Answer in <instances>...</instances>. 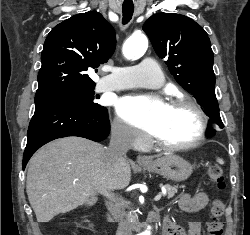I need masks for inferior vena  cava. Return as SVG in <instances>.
<instances>
[{
  "label": "inferior vena cava",
  "mask_w": 250,
  "mask_h": 235,
  "mask_svg": "<svg viewBox=\"0 0 250 235\" xmlns=\"http://www.w3.org/2000/svg\"><path fill=\"white\" fill-rule=\"evenodd\" d=\"M131 131L122 123H115L111 128V139L109 147L105 148L104 160L110 165L124 160V156L130 148ZM106 206L114 218L118 219L119 226L116 235H132L131 225L125 220L124 210L119 208L112 201H107Z\"/></svg>",
  "instance_id": "1"
}]
</instances>
